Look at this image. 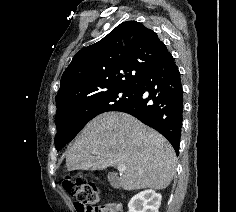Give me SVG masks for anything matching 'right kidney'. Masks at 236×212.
<instances>
[{
    "instance_id": "right-kidney-1",
    "label": "right kidney",
    "mask_w": 236,
    "mask_h": 212,
    "mask_svg": "<svg viewBox=\"0 0 236 212\" xmlns=\"http://www.w3.org/2000/svg\"><path fill=\"white\" fill-rule=\"evenodd\" d=\"M162 196L154 190H144L134 195L128 203V212H159Z\"/></svg>"
}]
</instances>
